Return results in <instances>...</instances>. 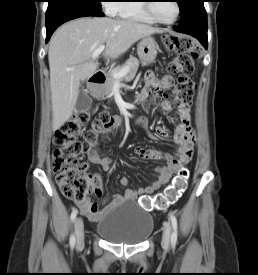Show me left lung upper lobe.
I'll use <instances>...</instances> for the list:
<instances>
[{"instance_id":"5c2ea615","label":"left lung upper lobe","mask_w":258,"mask_h":275,"mask_svg":"<svg viewBox=\"0 0 258 275\" xmlns=\"http://www.w3.org/2000/svg\"><path fill=\"white\" fill-rule=\"evenodd\" d=\"M191 1L192 0H177V3L180 8V15H182L185 12Z\"/></svg>"}]
</instances>
